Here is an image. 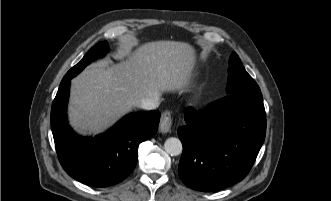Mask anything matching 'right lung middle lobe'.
Here are the masks:
<instances>
[{"instance_id":"right-lung-middle-lobe-1","label":"right lung middle lobe","mask_w":331,"mask_h":201,"mask_svg":"<svg viewBox=\"0 0 331 201\" xmlns=\"http://www.w3.org/2000/svg\"><path fill=\"white\" fill-rule=\"evenodd\" d=\"M107 42H99L94 47H92L88 53L83 57V59L72 67L67 74L64 76L62 82L71 80L74 76L80 73L88 64H90L98 56H103L106 53Z\"/></svg>"}]
</instances>
